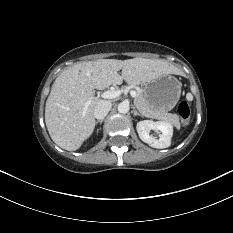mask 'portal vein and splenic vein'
Here are the masks:
<instances>
[{
  "label": "portal vein and splenic vein",
  "mask_w": 233,
  "mask_h": 233,
  "mask_svg": "<svg viewBox=\"0 0 233 233\" xmlns=\"http://www.w3.org/2000/svg\"><path fill=\"white\" fill-rule=\"evenodd\" d=\"M130 94L134 98L137 96V93L135 91H131ZM120 95H121L120 90H107V91L102 93L101 97L104 98V99H114V98H116V97H118ZM89 103H90V101L87 102V104H86V106L84 108L83 116L85 115V112H86V109H87Z\"/></svg>",
  "instance_id": "obj_1"
}]
</instances>
